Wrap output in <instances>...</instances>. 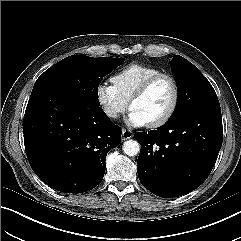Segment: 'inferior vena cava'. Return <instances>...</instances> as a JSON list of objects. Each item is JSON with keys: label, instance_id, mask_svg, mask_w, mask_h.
<instances>
[{"label": "inferior vena cava", "instance_id": "602c4592", "mask_svg": "<svg viewBox=\"0 0 241 241\" xmlns=\"http://www.w3.org/2000/svg\"><path fill=\"white\" fill-rule=\"evenodd\" d=\"M106 113L109 117H113V118L117 117V113L114 110H107Z\"/></svg>", "mask_w": 241, "mask_h": 241}]
</instances>
